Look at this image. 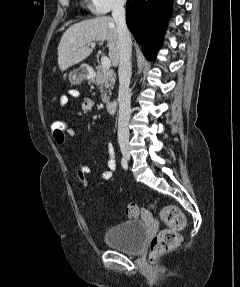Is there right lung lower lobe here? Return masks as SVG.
Masks as SVG:
<instances>
[{"instance_id":"1","label":"right lung lower lobe","mask_w":240,"mask_h":287,"mask_svg":"<svg viewBox=\"0 0 240 287\" xmlns=\"http://www.w3.org/2000/svg\"><path fill=\"white\" fill-rule=\"evenodd\" d=\"M171 5L172 0L127 1V26L147 59L154 60L161 46Z\"/></svg>"}]
</instances>
